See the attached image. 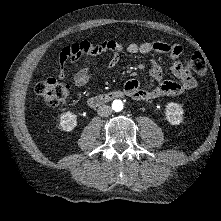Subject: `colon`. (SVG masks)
Returning a JSON list of instances; mask_svg holds the SVG:
<instances>
[{
	"label": "colon",
	"mask_w": 221,
	"mask_h": 221,
	"mask_svg": "<svg viewBox=\"0 0 221 221\" xmlns=\"http://www.w3.org/2000/svg\"><path fill=\"white\" fill-rule=\"evenodd\" d=\"M63 61L79 58L76 48L65 49L61 53ZM189 66L198 75L204 76L207 73V63L200 53L193 54L189 59ZM35 91L39 100L49 106H61L66 103L70 95V86L55 78H49L36 84Z\"/></svg>",
	"instance_id": "obj_1"
}]
</instances>
